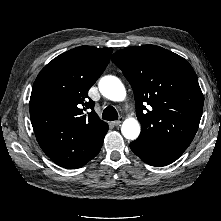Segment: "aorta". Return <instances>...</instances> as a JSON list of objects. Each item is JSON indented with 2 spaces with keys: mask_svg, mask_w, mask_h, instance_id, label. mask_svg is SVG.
Segmentation results:
<instances>
[{
  "mask_svg": "<svg viewBox=\"0 0 221 221\" xmlns=\"http://www.w3.org/2000/svg\"><path fill=\"white\" fill-rule=\"evenodd\" d=\"M99 90L101 94L112 101H123L126 97V90L123 83L115 76H104L99 81ZM141 128L139 122L134 118L126 119L122 126L123 136L129 140H135L140 134Z\"/></svg>",
  "mask_w": 221,
  "mask_h": 221,
  "instance_id": "obj_1",
  "label": "aorta"
}]
</instances>
